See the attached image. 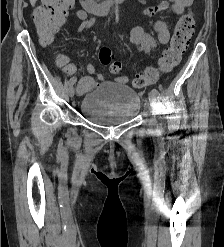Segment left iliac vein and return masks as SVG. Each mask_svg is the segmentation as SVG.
Here are the masks:
<instances>
[{
  "label": "left iliac vein",
  "instance_id": "1",
  "mask_svg": "<svg viewBox=\"0 0 224 247\" xmlns=\"http://www.w3.org/2000/svg\"><path fill=\"white\" fill-rule=\"evenodd\" d=\"M148 96H149L150 105L152 107V112L155 115L157 113V110H158V103H157L156 96L152 92H150ZM156 125H157V121L154 118L153 122H152V126L156 127Z\"/></svg>",
  "mask_w": 224,
  "mask_h": 247
}]
</instances>
